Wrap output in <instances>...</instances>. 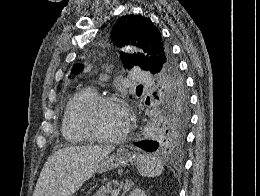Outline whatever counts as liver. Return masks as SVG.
I'll list each match as a JSON object with an SVG mask.
<instances>
[{"label":"liver","mask_w":260,"mask_h":196,"mask_svg":"<svg viewBox=\"0 0 260 196\" xmlns=\"http://www.w3.org/2000/svg\"><path fill=\"white\" fill-rule=\"evenodd\" d=\"M113 146H72L62 148L45 162L33 196H73L84 182L93 178L98 164Z\"/></svg>","instance_id":"obj_1"}]
</instances>
